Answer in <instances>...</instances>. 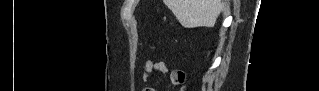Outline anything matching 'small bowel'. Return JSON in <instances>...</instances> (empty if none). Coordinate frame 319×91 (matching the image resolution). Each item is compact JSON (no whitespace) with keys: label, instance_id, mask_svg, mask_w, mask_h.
<instances>
[{"label":"small bowel","instance_id":"c3829d8e","mask_svg":"<svg viewBox=\"0 0 319 91\" xmlns=\"http://www.w3.org/2000/svg\"><path fill=\"white\" fill-rule=\"evenodd\" d=\"M168 70V66L164 62H154L151 60L146 61L143 67V79L146 81L149 75L153 72L162 73ZM182 75L181 72L172 73V82L177 84L179 82V77Z\"/></svg>","mask_w":319,"mask_h":91}]
</instances>
